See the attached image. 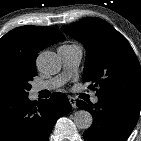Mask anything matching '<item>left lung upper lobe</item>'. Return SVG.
<instances>
[{"label": "left lung upper lobe", "mask_w": 141, "mask_h": 141, "mask_svg": "<svg viewBox=\"0 0 141 141\" xmlns=\"http://www.w3.org/2000/svg\"><path fill=\"white\" fill-rule=\"evenodd\" d=\"M62 31L84 44V79L98 97L141 100V67L123 35L97 17L63 26Z\"/></svg>", "instance_id": "5c2ea615"}]
</instances>
